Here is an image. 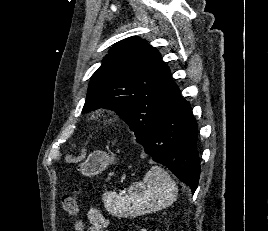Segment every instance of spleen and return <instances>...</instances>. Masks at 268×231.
<instances>
[{
  "label": "spleen",
  "instance_id": "1",
  "mask_svg": "<svg viewBox=\"0 0 268 231\" xmlns=\"http://www.w3.org/2000/svg\"><path fill=\"white\" fill-rule=\"evenodd\" d=\"M175 181L160 166H152L142 182L133 183L128 195L107 191L102 200L106 210L114 216L135 217L171 206L177 199Z\"/></svg>",
  "mask_w": 268,
  "mask_h": 231
}]
</instances>
